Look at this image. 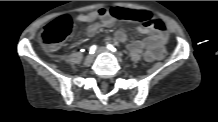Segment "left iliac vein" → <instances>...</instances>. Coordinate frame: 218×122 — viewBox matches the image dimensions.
I'll list each match as a JSON object with an SVG mask.
<instances>
[{"instance_id":"1","label":"left iliac vein","mask_w":218,"mask_h":122,"mask_svg":"<svg viewBox=\"0 0 218 122\" xmlns=\"http://www.w3.org/2000/svg\"><path fill=\"white\" fill-rule=\"evenodd\" d=\"M97 52L98 53H106V52H108V50L106 47H100Z\"/></svg>"}]
</instances>
